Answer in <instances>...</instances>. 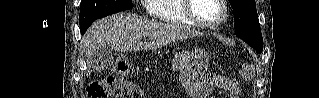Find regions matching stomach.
Masks as SVG:
<instances>
[{
	"label": "stomach",
	"instance_id": "1",
	"mask_svg": "<svg viewBox=\"0 0 319 98\" xmlns=\"http://www.w3.org/2000/svg\"><path fill=\"white\" fill-rule=\"evenodd\" d=\"M209 57L203 49H195L187 55L180 71V80L192 98H202V78L207 71Z\"/></svg>",
	"mask_w": 319,
	"mask_h": 98
}]
</instances>
